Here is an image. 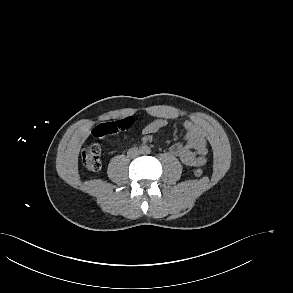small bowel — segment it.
I'll use <instances>...</instances> for the list:
<instances>
[{"mask_svg": "<svg viewBox=\"0 0 293 293\" xmlns=\"http://www.w3.org/2000/svg\"><path fill=\"white\" fill-rule=\"evenodd\" d=\"M166 119H155L143 128L144 134H152L167 126ZM186 134L182 142L174 144L170 153L187 166H203L207 162L208 147L204 129L192 121H185Z\"/></svg>", "mask_w": 293, "mask_h": 293, "instance_id": "small-bowel-1", "label": "small bowel"}]
</instances>
